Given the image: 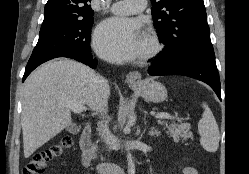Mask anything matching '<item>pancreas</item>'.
I'll list each match as a JSON object with an SVG mask.
<instances>
[{
    "mask_svg": "<svg viewBox=\"0 0 249 174\" xmlns=\"http://www.w3.org/2000/svg\"><path fill=\"white\" fill-rule=\"evenodd\" d=\"M160 125H165L167 128L166 133L173 138L175 142H178L180 139L187 140L193 138V133L190 131L189 124H168L166 121H158ZM96 151V146L93 147Z\"/></svg>",
    "mask_w": 249,
    "mask_h": 174,
    "instance_id": "1",
    "label": "pancreas"
}]
</instances>
